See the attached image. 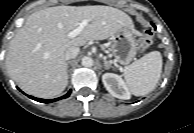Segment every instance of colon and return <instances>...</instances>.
Returning <instances> with one entry per match:
<instances>
[{"instance_id":"obj_1","label":"colon","mask_w":194,"mask_h":133,"mask_svg":"<svg viewBox=\"0 0 194 133\" xmlns=\"http://www.w3.org/2000/svg\"><path fill=\"white\" fill-rule=\"evenodd\" d=\"M153 43V34L146 30L143 33V36L139 40V49L140 51H146Z\"/></svg>"}]
</instances>
